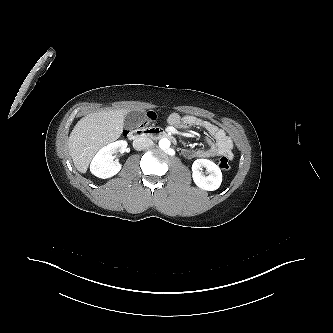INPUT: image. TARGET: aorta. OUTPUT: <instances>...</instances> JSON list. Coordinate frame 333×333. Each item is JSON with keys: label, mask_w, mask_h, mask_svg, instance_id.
<instances>
[{"label": "aorta", "mask_w": 333, "mask_h": 333, "mask_svg": "<svg viewBox=\"0 0 333 333\" xmlns=\"http://www.w3.org/2000/svg\"><path fill=\"white\" fill-rule=\"evenodd\" d=\"M159 147L162 150H166L170 147V141L167 138H163L159 141Z\"/></svg>", "instance_id": "1"}]
</instances>
